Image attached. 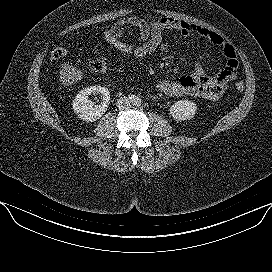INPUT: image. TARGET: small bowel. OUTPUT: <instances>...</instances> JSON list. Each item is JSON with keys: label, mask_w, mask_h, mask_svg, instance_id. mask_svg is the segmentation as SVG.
I'll list each match as a JSON object with an SVG mask.
<instances>
[{"label": "small bowel", "mask_w": 272, "mask_h": 272, "mask_svg": "<svg viewBox=\"0 0 272 272\" xmlns=\"http://www.w3.org/2000/svg\"><path fill=\"white\" fill-rule=\"evenodd\" d=\"M109 30L129 35L142 42H152L160 47V51L167 48L164 39V33L167 30L177 31L183 37L195 34L221 48L226 63L220 72L209 75L204 70L202 63L197 61L190 75L177 79H163L158 82V91L167 96L216 100L224 94L228 82L236 77L238 58L235 48L222 35L204 26L172 17H161L153 22H148L138 16H128L118 20Z\"/></svg>", "instance_id": "obj_1"}]
</instances>
